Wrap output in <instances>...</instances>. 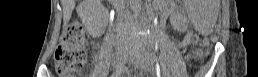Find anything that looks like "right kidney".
Returning a JSON list of instances; mask_svg holds the SVG:
<instances>
[{"label":"right kidney","mask_w":258,"mask_h":77,"mask_svg":"<svg viewBox=\"0 0 258 77\" xmlns=\"http://www.w3.org/2000/svg\"><path fill=\"white\" fill-rule=\"evenodd\" d=\"M84 8L87 10L98 8L94 13L93 18H100L102 15L106 13L105 8L100 7V4H98L97 2H94L93 4H90V5H86Z\"/></svg>","instance_id":"ca27d5eb"}]
</instances>
